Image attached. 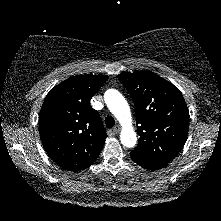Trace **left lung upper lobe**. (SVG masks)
<instances>
[{
    "mask_svg": "<svg viewBox=\"0 0 221 221\" xmlns=\"http://www.w3.org/2000/svg\"><path fill=\"white\" fill-rule=\"evenodd\" d=\"M117 77L136 108L140 138L130 155L169 163L183 148L188 134L189 112L181 92L151 71L121 73Z\"/></svg>",
    "mask_w": 221,
    "mask_h": 221,
    "instance_id": "5c2ea615",
    "label": "left lung upper lobe"
}]
</instances>
